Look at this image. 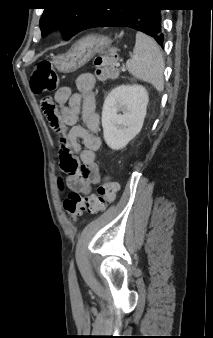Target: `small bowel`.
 I'll use <instances>...</instances> for the list:
<instances>
[{
    "mask_svg": "<svg viewBox=\"0 0 213 338\" xmlns=\"http://www.w3.org/2000/svg\"><path fill=\"white\" fill-rule=\"evenodd\" d=\"M75 83L78 92L72 93L69 87H61L54 94V102L48 104L54 107V115L60 126L66 128L62 145L69 148L73 157L81 162L78 170L68 174V187L71 191L88 195L99 175L96 151L100 147V139L96 133L100 119L96 111L95 77L81 74Z\"/></svg>",
    "mask_w": 213,
    "mask_h": 338,
    "instance_id": "c3829d8e",
    "label": "small bowel"
}]
</instances>
